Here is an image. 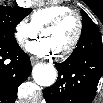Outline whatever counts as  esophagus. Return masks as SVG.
Returning a JSON list of instances; mask_svg holds the SVG:
<instances>
[{
    "label": "esophagus",
    "mask_w": 103,
    "mask_h": 103,
    "mask_svg": "<svg viewBox=\"0 0 103 103\" xmlns=\"http://www.w3.org/2000/svg\"><path fill=\"white\" fill-rule=\"evenodd\" d=\"M30 61H31V64H32V65H34V64H36V63L39 62V60H38L37 58H35V57H31V58H30Z\"/></svg>",
    "instance_id": "obj_1"
}]
</instances>
